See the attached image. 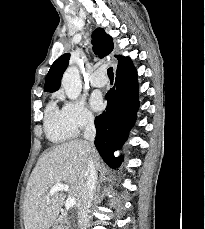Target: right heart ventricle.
Listing matches in <instances>:
<instances>
[{"mask_svg": "<svg viewBox=\"0 0 205 229\" xmlns=\"http://www.w3.org/2000/svg\"><path fill=\"white\" fill-rule=\"evenodd\" d=\"M45 133L53 143H63L75 137L76 132L64 118L62 109L54 101H50L45 110Z\"/></svg>", "mask_w": 205, "mask_h": 229, "instance_id": "obj_1", "label": "right heart ventricle"}]
</instances>
